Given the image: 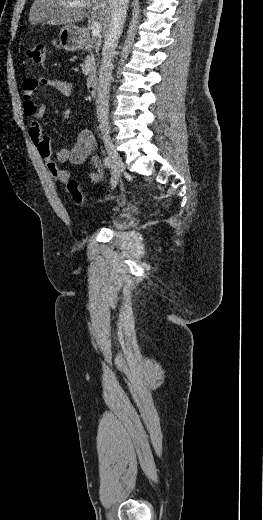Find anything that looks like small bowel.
<instances>
[{"label": "small bowel", "mask_w": 263, "mask_h": 520, "mask_svg": "<svg viewBox=\"0 0 263 520\" xmlns=\"http://www.w3.org/2000/svg\"><path fill=\"white\" fill-rule=\"evenodd\" d=\"M40 86L54 87L63 95L69 96L73 93V85L64 80L43 77L29 78L22 83L23 109L25 115L30 118L29 136L39 155L45 161L48 171L54 179L66 184L70 180V173L60 169L58 163L82 164L89 159L90 180L93 184H97L103 177L104 166L98 156L92 155L96 148L94 133L91 130H82L73 145L62 147L53 152L38 121L46 112L45 105L37 104L34 99V94Z\"/></svg>", "instance_id": "obj_1"}]
</instances>
